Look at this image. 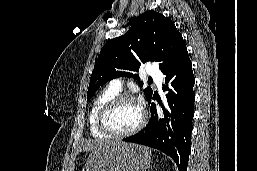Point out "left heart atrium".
Segmentation results:
<instances>
[{
  "mask_svg": "<svg viewBox=\"0 0 257 171\" xmlns=\"http://www.w3.org/2000/svg\"><path fill=\"white\" fill-rule=\"evenodd\" d=\"M137 106L139 107L140 110L142 109L141 103H138Z\"/></svg>",
  "mask_w": 257,
  "mask_h": 171,
  "instance_id": "1",
  "label": "left heart atrium"
}]
</instances>
